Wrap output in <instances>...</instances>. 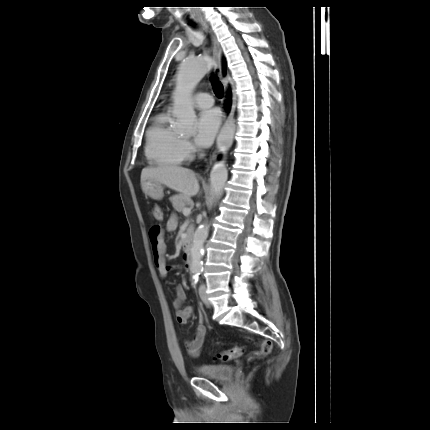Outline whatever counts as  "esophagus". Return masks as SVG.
<instances>
[{
    "instance_id": "34e87169",
    "label": "esophagus",
    "mask_w": 430,
    "mask_h": 430,
    "mask_svg": "<svg viewBox=\"0 0 430 430\" xmlns=\"http://www.w3.org/2000/svg\"><path fill=\"white\" fill-rule=\"evenodd\" d=\"M212 50H213V61H214V72L222 78V49L215 35L212 34ZM226 88V85H225ZM226 111L223 112V120L226 119ZM215 159V154H212L208 160V166L212 164Z\"/></svg>"
}]
</instances>
